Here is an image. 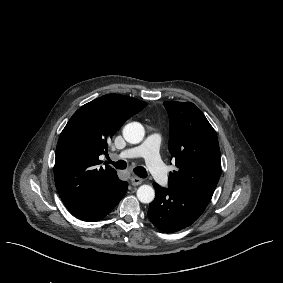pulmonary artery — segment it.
Wrapping results in <instances>:
<instances>
[{"instance_id": "obj_1", "label": "pulmonary artery", "mask_w": 283, "mask_h": 283, "mask_svg": "<svg viewBox=\"0 0 283 283\" xmlns=\"http://www.w3.org/2000/svg\"><path fill=\"white\" fill-rule=\"evenodd\" d=\"M159 146V135L150 134L141 144L125 147L122 150V155L125 158L142 155L143 160L146 162L148 169L152 173L153 180L158 185H165L168 182V175L165 173L161 157L156 154Z\"/></svg>"}]
</instances>
